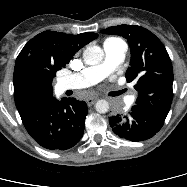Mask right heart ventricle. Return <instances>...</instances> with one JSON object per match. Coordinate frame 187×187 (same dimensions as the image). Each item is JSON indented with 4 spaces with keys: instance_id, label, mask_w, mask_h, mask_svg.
Masks as SVG:
<instances>
[{
    "instance_id": "obj_1",
    "label": "right heart ventricle",
    "mask_w": 187,
    "mask_h": 187,
    "mask_svg": "<svg viewBox=\"0 0 187 187\" xmlns=\"http://www.w3.org/2000/svg\"><path fill=\"white\" fill-rule=\"evenodd\" d=\"M115 41H121L120 39L117 38H108L105 40L104 44L108 43V42H115Z\"/></svg>"
}]
</instances>
